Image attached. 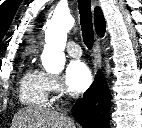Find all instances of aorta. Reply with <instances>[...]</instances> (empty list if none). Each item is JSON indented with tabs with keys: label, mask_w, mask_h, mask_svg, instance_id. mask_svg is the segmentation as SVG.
<instances>
[{
	"label": "aorta",
	"mask_w": 142,
	"mask_h": 128,
	"mask_svg": "<svg viewBox=\"0 0 142 128\" xmlns=\"http://www.w3.org/2000/svg\"><path fill=\"white\" fill-rule=\"evenodd\" d=\"M75 24L74 18L69 12L55 11L51 20L45 27V45L42 64L46 71L59 73L65 65L64 49L67 41V33Z\"/></svg>",
	"instance_id": "aorta-1"
}]
</instances>
